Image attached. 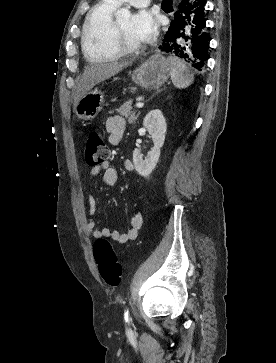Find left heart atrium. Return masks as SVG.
I'll list each match as a JSON object with an SVG mask.
<instances>
[{
	"label": "left heart atrium",
	"mask_w": 276,
	"mask_h": 363,
	"mask_svg": "<svg viewBox=\"0 0 276 363\" xmlns=\"http://www.w3.org/2000/svg\"><path fill=\"white\" fill-rule=\"evenodd\" d=\"M133 28L142 41L155 37L158 29L157 18L149 11H139L133 16Z\"/></svg>",
	"instance_id": "left-heart-atrium-1"
}]
</instances>
